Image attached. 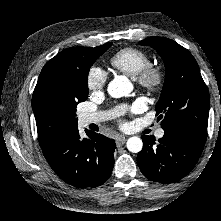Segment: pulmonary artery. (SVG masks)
I'll use <instances>...</instances> for the list:
<instances>
[{
  "mask_svg": "<svg viewBox=\"0 0 221 221\" xmlns=\"http://www.w3.org/2000/svg\"><path fill=\"white\" fill-rule=\"evenodd\" d=\"M113 112H93L85 113L80 116V123L83 126H87L92 123H99L112 118ZM156 138H162L164 136V130L158 129L155 133Z\"/></svg>",
  "mask_w": 221,
  "mask_h": 221,
  "instance_id": "obj_1",
  "label": "pulmonary artery"
}]
</instances>
